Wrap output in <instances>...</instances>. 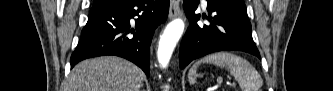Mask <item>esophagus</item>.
Returning <instances> with one entry per match:
<instances>
[{
  "instance_id": "1",
  "label": "esophagus",
  "mask_w": 333,
  "mask_h": 91,
  "mask_svg": "<svg viewBox=\"0 0 333 91\" xmlns=\"http://www.w3.org/2000/svg\"><path fill=\"white\" fill-rule=\"evenodd\" d=\"M183 16V12L180 8V0L170 1L169 19L179 18Z\"/></svg>"
}]
</instances>
